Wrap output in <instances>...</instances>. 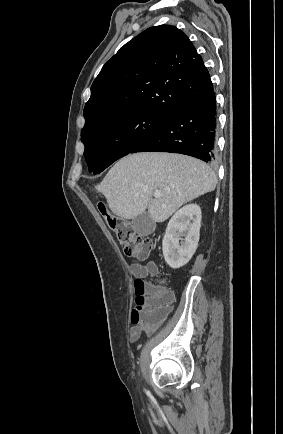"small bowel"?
I'll return each mask as SVG.
<instances>
[{"instance_id":"obj_1","label":"small bowel","mask_w":283,"mask_h":434,"mask_svg":"<svg viewBox=\"0 0 283 434\" xmlns=\"http://www.w3.org/2000/svg\"><path fill=\"white\" fill-rule=\"evenodd\" d=\"M130 270L132 275L137 279H143L148 276H154L158 273V266L155 262L149 261L147 263H143L137 260H134L131 263ZM172 295V293H171ZM173 297V295H172ZM171 310V307H170ZM143 330L139 326H133L130 329V340L132 342L137 341Z\"/></svg>"}]
</instances>
